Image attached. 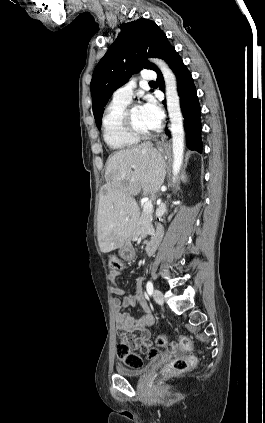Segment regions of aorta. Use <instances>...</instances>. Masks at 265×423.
I'll return each instance as SVG.
<instances>
[{"label":"aorta","mask_w":265,"mask_h":423,"mask_svg":"<svg viewBox=\"0 0 265 423\" xmlns=\"http://www.w3.org/2000/svg\"><path fill=\"white\" fill-rule=\"evenodd\" d=\"M152 62H154L161 70L165 81L167 110L171 122L170 130L173 149V181H175L181 170L184 154V128L180 108V98L177 91V81L174 73L167 63L161 59H152Z\"/></svg>","instance_id":"1"}]
</instances>
